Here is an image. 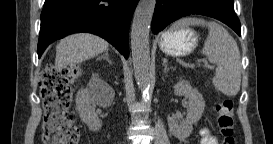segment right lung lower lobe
Masks as SVG:
<instances>
[{
  "instance_id": "obj_1",
  "label": "right lung lower lobe",
  "mask_w": 273,
  "mask_h": 144,
  "mask_svg": "<svg viewBox=\"0 0 273 144\" xmlns=\"http://www.w3.org/2000/svg\"><path fill=\"white\" fill-rule=\"evenodd\" d=\"M139 0H45L41 13L38 57L52 42L69 34L88 32L129 56L128 32Z\"/></svg>"
}]
</instances>
